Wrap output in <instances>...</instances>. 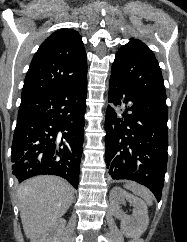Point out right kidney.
<instances>
[{
	"label": "right kidney",
	"mask_w": 187,
	"mask_h": 242,
	"mask_svg": "<svg viewBox=\"0 0 187 242\" xmlns=\"http://www.w3.org/2000/svg\"><path fill=\"white\" fill-rule=\"evenodd\" d=\"M66 225L65 219H58L48 227L43 229L33 242H58V239L64 231Z\"/></svg>",
	"instance_id": "right-kidney-1"
}]
</instances>
